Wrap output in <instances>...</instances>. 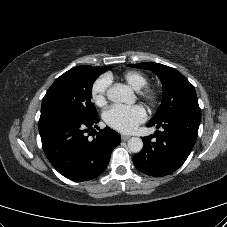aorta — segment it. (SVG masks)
<instances>
[{
    "label": "aorta",
    "mask_w": 227,
    "mask_h": 227,
    "mask_svg": "<svg viewBox=\"0 0 227 227\" xmlns=\"http://www.w3.org/2000/svg\"><path fill=\"white\" fill-rule=\"evenodd\" d=\"M107 98L115 103L126 102L131 98L132 92L126 85L116 84L107 90ZM128 148L133 153H139L143 148V141L139 137L128 140Z\"/></svg>",
    "instance_id": "obj_1"
}]
</instances>
